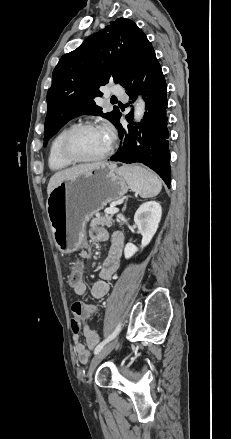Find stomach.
Here are the masks:
<instances>
[{"mask_svg":"<svg viewBox=\"0 0 231 439\" xmlns=\"http://www.w3.org/2000/svg\"><path fill=\"white\" fill-rule=\"evenodd\" d=\"M129 185L113 163L60 183L50 193L46 210L53 239L65 254L77 251L85 237L88 220L108 203L123 197Z\"/></svg>","mask_w":231,"mask_h":439,"instance_id":"stomach-1","label":"stomach"}]
</instances>
